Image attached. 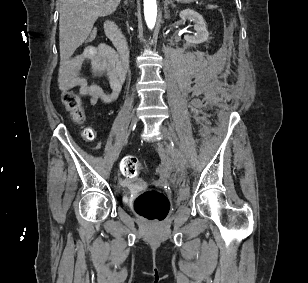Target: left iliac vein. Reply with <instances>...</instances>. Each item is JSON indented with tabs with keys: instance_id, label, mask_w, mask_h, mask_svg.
Wrapping results in <instances>:
<instances>
[{
	"instance_id": "4c4485c4",
	"label": "left iliac vein",
	"mask_w": 308,
	"mask_h": 283,
	"mask_svg": "<svg viewBox=\"0 0 308 283\" xmlns=\"http://www.w3.org/2000/svg\"><path fill=\"white\" fill-rule=\"evenodd\" d=\"M160 130L162 132V135L164 136V139L167 142H172L173 133L167 127L163 125L160 126ZM174 155H175L176 162L181 169L187 166V160L184 154L182 153V151H180L179 149H176Z\"/></svg>"
}]
</instances>
